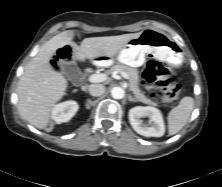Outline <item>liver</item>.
Wrapping results in <instances>:
<instances>
[{
    "label": "liver",
    "instance_id": "1",
    "mask_svg": "<svg viewBox=\"0 0 222 187\" xmlns=\"http://www.w3.org/2000/svg\"><path fill=\"white\" fill-rule=\"evenodd\" d=\"M142 32L118 36L85 38L81 45L72 43L74 31H64L47 41L27 64L17 88L18 110L23 119L39 129L50 122V112L66 94L67 79L55 71L49 61L57 49L70 45L74 59L85 61L100 57L112 58L131 39Z\"/></svg>",
    "mask_w": 222,
    "mask_h": 187
}]
</instances>
